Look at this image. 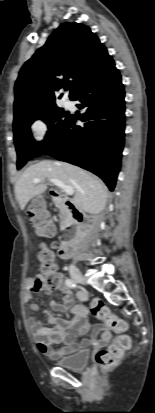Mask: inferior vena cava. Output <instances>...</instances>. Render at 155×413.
<instances>
[{
	"label": "inferior vena cava",
	"mask_w": 155,
	"mask_h": 413,
	"mask_svg": "<svg viewBox=\"0 0 155 413\" xmlns=\"http://www.w3.org/2000/svg\"><path fill=\"white\" fill-rule=\"evenodd\" d=\"M70 272H77V268L74 265H71Z\"/></svg>",
	"instance_id": "602c4592"
}]
</instances>
